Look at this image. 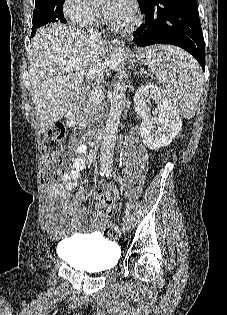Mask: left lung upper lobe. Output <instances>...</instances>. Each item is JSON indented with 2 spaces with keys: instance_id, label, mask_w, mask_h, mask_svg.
<instances>
[{
  "instance_id": "obj_1",
  "label": "left lung upper lobe",
  "mask_w": 227,
  "mask_h": 315,
  "mask_svg": "<svg viewBox=\"0 0 227 315\" xmlns=\"http://www.w3.org/2000/svg\"><path fill=\"white\" fill-rule=\"evenodd\" d=\"M151 1H153V0H138L139 7H140V8H143V7H145L146 5H148L149 3H151Z\"/></svg>"
}]
</instances>
